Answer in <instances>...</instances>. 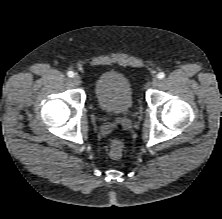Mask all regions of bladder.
Wrapping results in <instances>:
<instances>
[{"mask_svg":"<svg viewBox=\"0 0 222 219\" xmlns=\"http://www.w3.org/2000/svg\"><path fill=\"white\" fill-rule=\"evenodd\" d=\"M94 94L99 108L110 115H126L134 104L128 78L114 70L106 71L96 79Z\"/></svg>","mask_w":222,"mask_h":219,"instance_id":"1","label":"bladder"}]
</instances>
